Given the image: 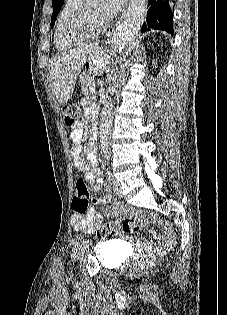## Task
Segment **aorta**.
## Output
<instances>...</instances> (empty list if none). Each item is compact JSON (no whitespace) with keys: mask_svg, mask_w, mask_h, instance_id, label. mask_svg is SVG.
Here are the masks:
<instances>
[{"mask_svg":"<svg viewBox=\"0 0 227 315\" xmlns=\"http://www.w3.org/2000/svg\"><path fill=\"white\" fill-rule=\"evenodd\" d=\"M134 33V26L130 22L122 23L114 32L111 44L114 50L120 49L122 46L128 43ZM109 91H113V85L109 86ZM113 120V104L111 98L104 103L101 122L99 127L101 152L104 157H108L109 154V138L111 134Z\"/></svg>","mask_w":227,"mask_h":315,"instance_id":"aorta-1","label":"aorta"}]
</instances>
